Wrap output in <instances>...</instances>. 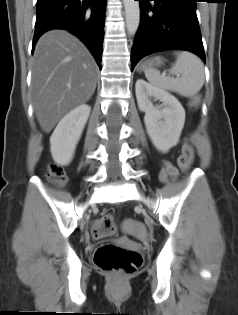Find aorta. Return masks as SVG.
<instances>
[{"label": "aorta", "instance_id": "1", "mask_svg": "<svg viewBox=\"0 0 238 315\" xmlns=\"http://www.w3.org/2000/svg\"><path fill=\"white\" fill-rule=\"evenodd\" d=\"M125 8L126 29L130 35H135L140 23L139 2L134 0H123Z\"/></svg>", "mask_w": 238, "mask_h": 315}]
</instances>
